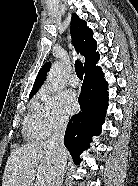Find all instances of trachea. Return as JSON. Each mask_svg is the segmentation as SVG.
Returning a JSON list of instances; mask_svg holds the SVG:
<instances>
[{
	"label": "trachea",
	"mask_w": 138,
	"mask_h": 186,
	"mask_svg": "<svg viewBox=\"0 0 138 186\" xmlns=\"http://www.w3.org/2000/svg\"><path fill=\"white\" fill-rule=\"evenodd\" d=\"M75 72H76L78 78L80 80H82L83 79V74H84V67H83V64L79 60H77L75 62Z\"/></svg>",
	"instance_id": "3493384b"
}]
</instances>
